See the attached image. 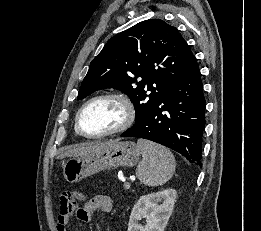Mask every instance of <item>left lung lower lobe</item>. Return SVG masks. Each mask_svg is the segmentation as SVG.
Wrapping results in <instances>:
<instances>
[{
    "label": "left lung lower lobe",
    "mask_w": 261,
    "mask_h": 231,
    "mask_svg": "<svg viewBox=\"0 0 261 231\" xmlns=\"http://www.w3.org/2000/svg\"><path fill=\"white\" fill-rule=\"evenodd\" d=\"M205 98L200 69L173 82L164 97L121 137L148 139L182 154L201 166Z\"/></svg>",
    "instance_id": "left-lung-lower-lobe-1"
}]
</instances>
